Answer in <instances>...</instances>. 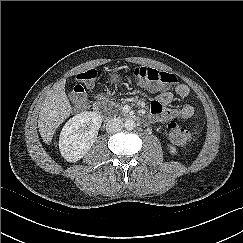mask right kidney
I'll use <instances>...</instances> for the list:
<instances>
[{
  "label": "right kidney",
  "mask_w": 243,
  "mask_h": 243,
  "mask_svg": "<svg viewBox=\"0 0 243 243\" xmlns=\"http://www.w3.org/2000/svg\"><path fill=\"white\" fill-rule=\"evenodd\" d=\"M102 119L97 112L84 111L69 119L59 137L61 155L68 162H77L97 139Z\"/></svg>",
  "instance_id": "ca27d5eb"
}]
</instances>
